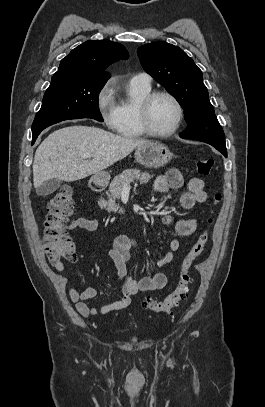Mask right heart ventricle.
Masks as SVG:
<instances>
[{"mask_svg":"<svg viewBox=\"0 0 265 407\" xmlns=\"http://www.w3.org/2000/svg\"><path fill=\"white\" fill-rule=\"evenodd\" d=\"M151 92V84L130 80L128 83L129 99L117 105L114 131L124 138H141L145 133L141 130L137 109L143 98Z\"/></svg>","mask_w":265,"mask_h":407,"instance_id":"obj_1","label":"right heart ventricle"}]
</instances>
